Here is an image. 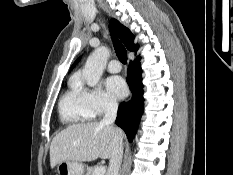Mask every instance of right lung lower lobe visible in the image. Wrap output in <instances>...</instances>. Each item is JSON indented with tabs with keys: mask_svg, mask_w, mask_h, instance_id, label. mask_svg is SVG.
Instances as JSON below:
<instances>
[{
	"mask_svg": "<svg viewBox=\"0 0 233 175\" xmlns=\"http://www.w3.org/2000/svg\"><path fill=\"white\" fill-rule=\"evenodd\" d=\"M140 57L130 62L128 67L127 83L132 91V98L128 102H122L118 108L116 124L121 127L132 142L144 109L143 84L141 78Z\"/></svg>",
	"mask_w": 233,
	"mask_h": 175,
	"instance_id": "98d812e1",
	"label": "right lung lower lobe"
}]
</instances>
